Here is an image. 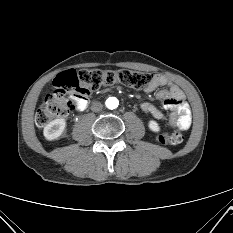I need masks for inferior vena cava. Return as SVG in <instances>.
Segmentation results:
<instances>
[{
	"mask_svg": "<svg viewBox=\"0 0 233 233\" xmlns=\"http://www.w3.org/2000/svg\"><path fill=\"white\" fill-rule=\"evenodd\" d=\"M102 108H103V105L100 102L95 101L92 103L91 110L93 112H100Z\"/></svg>",
	"mask_w": 233,
	"mask_h": 233,
	"instance_id": "602c4592",
	"label": "inferior vena cava"
}]
</instances>
